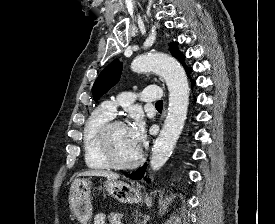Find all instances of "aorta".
I'll return each instance as SVG.
<instances>
[{"label": "aorta", "instance_id": "762f6f07", "mask_svg": "<svg viewBox=\"0 0 275 224\" xmlns=\"http://www.w3.org/2000/svg\"><path fill=\"white\" fill-rule=\"evenodd\" d=\"M136 72L154 71L165 80L169 90L168 115L157 137L150 160L153 170L160 169L172 154L183 130L189 104V84L183 67L163 54L138 56L131 64Z\"/></svg>", "mask_w": 275, "mask_h": 224}]
</instances>
